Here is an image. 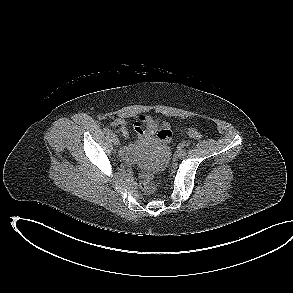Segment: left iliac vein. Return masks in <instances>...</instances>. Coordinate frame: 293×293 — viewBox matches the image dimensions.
Instances as JSON below:
<instances>
[{
	"instance_id": "4c4485c4",
	"label": "left iliac vein",
	"mask_w": 293,
	"mask_h": 293,
	"mask_svg": "<svg viewBox=\"0 0 293 293\" xmlns=\"http://www.w3.org/2000/svg\"><path fill=\"white\" fill-rule=\"evenodd\" d=\"M178 156L180 158H184L186 156V152L185 151H180L179 154H178Z\"/></svg>"
}]
</instances>
